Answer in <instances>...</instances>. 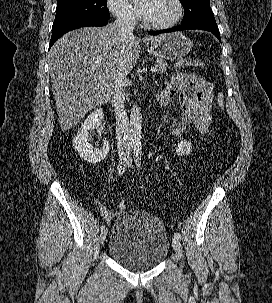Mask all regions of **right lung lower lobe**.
<instances>
[{
	"label": "right lung lower lobe",
	"instance_id": "right-lung-lower-lobe-1",
	"mask_svg": "<svg viewBox=\"0 0 272 303\" xmlns=\"http://www.w3.org/2000/svg\"><path fill=\"white\" fill-rule=\"evenodd\" d=\"M107 20H101V19H80V20H74L70 21L68 23H65L63 25L52 27V36L51 41L49 44V48L65 33L68 31L80 28V27H87V26H105L107 25Z\"/></svg>",
	"mask_w": 272,
	"mask_h": 303
}]
</instances>
